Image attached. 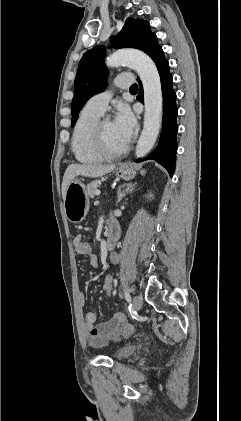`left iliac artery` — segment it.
Here are the masks:
<instances>
[{
	"mask_svg": "<svg viewBox=\"0 0 241 421\" xmlns=\"http://www.w3.org/2000/svg\"><path fill=\"white\" fill-rule=\"evenodd\" d=\"M124 296H125V299H126L128 302H130V301H131V296H130V294H129L127 291H125V292H124Z\"/></svg>",
	"mask_w": 241,
	"mask_h": 421,
	"instance_id": "44dca946",
	"label": "left iliac artery"
}]
</instances>
